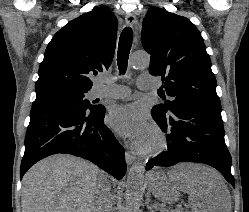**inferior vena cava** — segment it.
Masks as SVG:
<instances>
[{"label":"inferior vena cava","mask_w":249,"mask_h":212,"mask_svg":"<svg viewBox=\"0 0 249 212\" xmlns=\"http://www.w3.org/2000/svg\"><path fill=\"white\" fill-rule=\"evenodd\" d=\"M137 176V174H135ZM111 184L105 174H99L92 212H113Z\"/></svg>","instance_id":"1"}]
</instances>
